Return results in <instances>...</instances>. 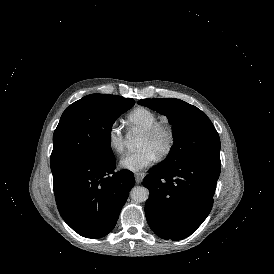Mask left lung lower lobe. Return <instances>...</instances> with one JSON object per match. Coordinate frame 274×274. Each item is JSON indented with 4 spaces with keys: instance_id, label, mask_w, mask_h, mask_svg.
<instances>
[{
    "instance_id": "1",
    "label": "left lung lower lobe",
    "mask_w": 274,
    "mask_h": 274,
    "mask_svg": "<svg viewBox=\"0 0 274 274\" xmlns=\"http://www.w3.org/2000/svg\"><path fill=\"white\" fill-rule=\"evenodd\" d=\"M220 166V158L202 156L174 166L159 163L148 171L145 214L156 235L181 240L202 224L213 205Z\"/></svg>"
}]
</instances>
